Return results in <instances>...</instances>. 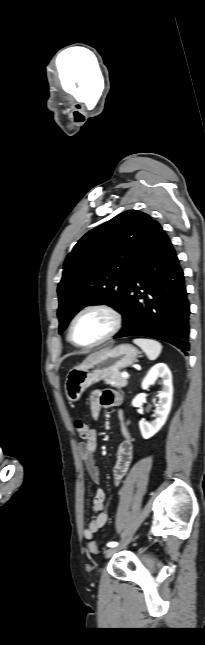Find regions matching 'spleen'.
<instances>
[{"label": "spleen", "instance_id": "spleen-1", "mask_svg": "<svg viewBox=\"0 0 205 645\" xmlns=\"http://www.w3.org/2000/svg\"><path fill=\"white\" fill-rule=\"evenodd\" d=\"M133 343L139 346L150 360H155L162 350V345L153 339L136 338Z\"/></svg>", "mask_w": 205, "mask_h": 645}]
</instances>
